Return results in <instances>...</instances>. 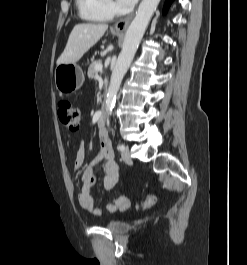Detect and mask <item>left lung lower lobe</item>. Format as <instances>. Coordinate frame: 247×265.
<instances>
[{
	"label": "left lung lower lobe",
	"mask_w": 247,
	"mask_h": 265,
	"mask_svg": "<svg viewBox=\"0 0 247 265\" xmlns=\"http://www.w3.org/2000/svg\"><path fill=\"white\" fill-rule=\"evenodd\" d=\"M173 0H166L165 2V6H164V10H166L168 8V6L170 5V3L172 2Z\"/></svg>",
	"instance_id": "left-lung-lower-lobe-1"
}]
</instances>
